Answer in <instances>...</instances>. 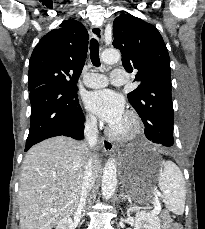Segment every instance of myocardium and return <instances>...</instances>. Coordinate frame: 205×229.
I'll use <instances>...</instances> for the list:
<instances>
[{
  "instance_id": "f54148a6",
  "label": "myocardium",
  "mask_w": 205,
  "mask_h": 229,
  "mask_svg": "<svg viewBox=\"0 0 205 229\" xmlns=\"http://www.w3.org/2000/svg\"><path fill=\"white\" fill-rule=\"evenodd\" d=\"M128 122L124 130H117L114 127L108 129V135L116 140H130L140 132V119L136 112L129 110L124 116Z\"/></svg>"
}]
</instances>
